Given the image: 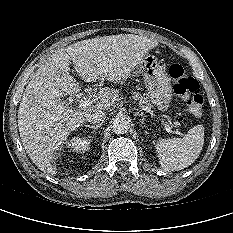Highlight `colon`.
Masks as SVG:
<instances>
[{"mask_svg": "<svg viewBox=\"0 0 233 233\" xmlns=\"http://www.w3.org/2000/svg\"><path fill=\"white\" fill-rule=\"evenodd\" d=\"M174 91L186 101L188 111L194 116H200L203 111L204 99L199 83L186 73L180 64L169 68Z\"/></svg>", "mask_w": 233, "mask_h": 233, "instance_id": "obj_1", "label": "colon"}]
</instances>
